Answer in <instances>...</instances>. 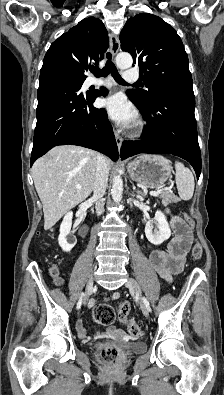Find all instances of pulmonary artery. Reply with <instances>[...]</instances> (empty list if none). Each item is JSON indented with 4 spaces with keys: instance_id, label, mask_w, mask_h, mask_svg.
Here are the masks:
<instances>
[{
    "instance_id": "e3ab8cb5",
    "label": "pulmonary artery",
    "mask_w": 224,
    "mask_h": 395,
    "mask_svg": "<svg viewBox=\"0 0 224 395\" xmlns=\"http://www.w3.org/2000/svg\"><path fill=\"white\" fill-rule=\"evenodd\" d=\"M124 79H125V81H128V82L136 81L138 79V72H137V70H134V69L126 70L125 75H124ZM91 84H93L95 86H102V85H104V81H102V80H94V81L91 82Z\"/></svg>"
}]
</instances>
